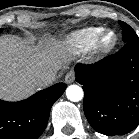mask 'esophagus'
Segmentation results:
<instances>
[{
    "mask_svg": "<svg viewBox=\"0 0 139 139\" xmlns=\"http://www.w3.org/2000/svg\"><path fill=\"white\" fill-rule=\"evenodd\" d=\"M74 80H75V72L73 70L68 71L65 76V82L70 84L74 82Z\"/></svg>",
    "mask_w": 139,
    "mask_h": 139,
    "instance_id": "1",
    "label": "esophagus"
}]
</instances>
